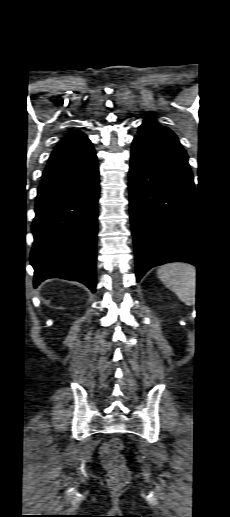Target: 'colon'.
I'll return each instance as SVG.
<instances>
[{"mask_svg":"<svg viewBox=\"0 0 230 517\" xmlns=\"http://www.w3.org/2000/svg\"><path fill=\"white\" fill-rule=\"evenodd\" d=\"M123 444L114 438L105 442L101 449L102 465L107 470L108 484L113 489L125 486L130 480V472L121 452Z\"/></svg>","mask_w":230,"mask_h":517,"instance_id":"obj_1","label":"colon"}]
</instances>
